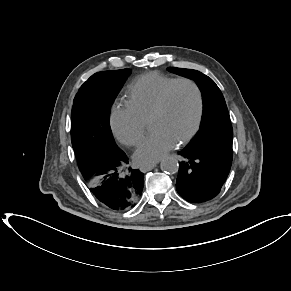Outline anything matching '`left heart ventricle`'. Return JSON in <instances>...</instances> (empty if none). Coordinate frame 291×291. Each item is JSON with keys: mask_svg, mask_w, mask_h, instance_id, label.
<instances>
[{"mask_svg": "<svg viewBox=\"0 0 291 291\" xmlns=\"http://www.w3.org/2000/svg\"><path fill=\"white\" fill-rule=\"evenodd\" d=\"M196 114L194 90L187 84H180L172 91L167 110L149 122L150 129L153 132L168 133L178 141L193 127Z\"/></svg>", "mask_w": 291, "mask_h": 291, "instance_id": "left-heart-ventricle-1", "label": "left heart ventricle"}]
</instances>
